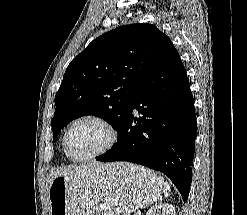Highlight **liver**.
I'll return each mask as SVG.
<instances>
[{
	"instance_id": "obj_1",
	"label": "liver",
	"mask_w": 247,
	"mask_h": 215,
	"mask_svg": "<svg viewBox=\"0 0 247 215\" xmlns=\"http://www.w3.org/2000/svg\"><path fill=\"white\" fill-rule=\"evenodd\" d=\"M104 164L98 162H91L87 164L68 166L66 168L58 169L53 171L49 177V184L53 181L54 178L58 176H66L68 178H74L78 176H83L87 173L90 168H101Z\"/></svg>"
}]
</instances>
